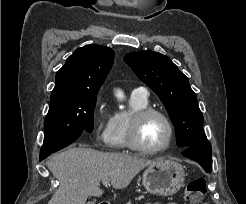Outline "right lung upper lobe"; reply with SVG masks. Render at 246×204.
<instances>
[{
    "instance_id": "1",
    "label": "right lung upper lobe",
    "mask_w": 246,
    "mask_h": 204,
    "mask_svg": "<svg viewBox=\"0 0 246 204\" xmlns=\"http://www.w3.org/2000/svg\"><path fill=\"white\" fill-rule=\"evenodd\" d=\"M114 51L86 45L74 51L56 74L51 101L97 94L114 61Z\"/></svg>"
}]
</instances>
